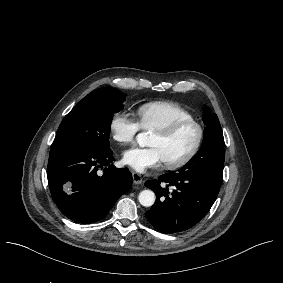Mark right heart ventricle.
<instances>
[{"instance_id": "obj_1", "label": "right heart ventricle", "mask_w": 283, "mask_h": 283, "mask_svg": "<svg viewBox=\"0 0 283 283\" xmlns=\"http://www.w3.org/2000/svg\"><path fill=\"white\" fill-rule=\"evenodd\" d=\"M135 112L143 129L162 131L182 118H193L192 114L176 103L153 101L136 107Z\"/></svg>"}]
</instances>
